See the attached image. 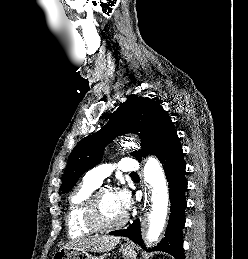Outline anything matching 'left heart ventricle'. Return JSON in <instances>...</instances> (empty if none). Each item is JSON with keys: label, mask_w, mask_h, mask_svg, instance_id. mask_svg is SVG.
Instances as JSON below:
<instances>
[{"label": "left heart ventricle", "mask_w": 248, "mask_h": 259, "mask_svg": "<svg viewBox=\"0 0 248 259\" xmlns=\"http://www.w3.org/2000/svg\"><path fill=\"white\" fill-rule=\"evenodd\" d=\"M99 212L102 220L110 223L119 221L125 215V212L116 200L115 193L112 191H106L101 194Z\"/></svg>", "instance_id": "1"}]
</instances>
